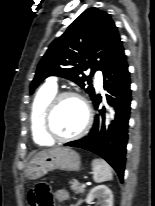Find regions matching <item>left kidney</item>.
<instances>
[{
	"instance_id": "obj_1",
	"label": "left kidney",
	"mask_w": 155,
	"mask_h": 206,
	"mask_svg": "<svg viewBox=\"0 0 155 206\" xmlns=\"http://www.w3.org/2000/svg\"><path fill=\"white\" fill-rule=\"evenodd\" d=\"M95 198L101 200V206H113V194L106 185H98L91 189L85 202L90 204Z\"/></svg>"
}]
</instances>
